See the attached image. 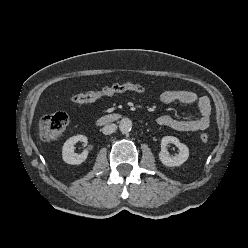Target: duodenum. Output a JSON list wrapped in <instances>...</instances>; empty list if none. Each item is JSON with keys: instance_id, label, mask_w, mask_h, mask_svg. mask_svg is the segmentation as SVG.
Segmentation results:
<instances>
[{"instance_id": "1", "label": "duodenum", "mask_w": 248, "mask_h": 248, "mask_svg": "<svg viewBox=\"0 0 248 248\" xmlns=\"http://www.w3.org/2000/svg\"><path fill=\"white\" fill-rule=\"evenodd\" d=\"M119 117L120 116L118 114H109V115H105V116L100 117L98 119V122L107 124V123H111V122L118 120Z\"/></svg>"}]
</instances>
